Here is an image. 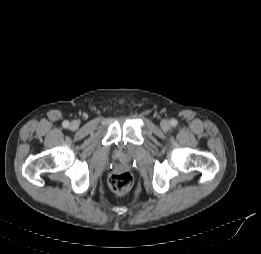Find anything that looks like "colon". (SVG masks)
I'll list each match as a JSON object with an SVG mask.
<instances>
[{
	"label": "colon",
	"mask_w": 261,
	"mask_h": 254,
	"mask_svg": "<svg viewBox=\"0 0 261 254\" xmlns=\"http://www.w3.org/2000/svg\"><path fill=\"white\" fill-rule=\"evenodd\" d=\"M133 184V177L128 171H117L109 177V186L113 192L124 195Z\"/></svg>",
	"instance_id": "obj_1"
}]
</instances>
